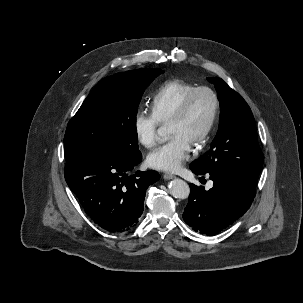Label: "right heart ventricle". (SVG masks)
I'll list each match as a JSON object with an SVG mask.
<instances>
[{
	"label": "right heart ventricle",
	"instance_id": "right-heart-ventricle-1",
	"mask_svg": "<svg viewBox=\"0 0 303 303\" xmlns=\"http://www.w3.org/2000/svg\"><path fill=\"white\" fill-rule=\"evenodd\" d=\"M197 86L180 79L162 84L151 100V113L159 123H167L184 97Z\"/></svg>",
	"mask_w": 303,
	"mask_h": 303
}]
</instances>
